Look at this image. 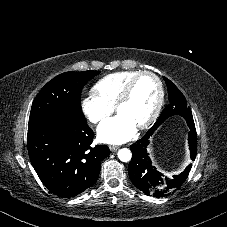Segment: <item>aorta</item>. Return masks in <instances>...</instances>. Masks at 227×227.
Masks as SVG:
<instances>
[{"mask_svg": "<svg viewBox=\"0 0 227 227\" xmlns=\"http://www.w3.org/2000/svg\"><path fill=\"white\" fill-rule=\"evenodd\" d=\"M132 157V153L129 149L127 148H123L120 149L118 151V158L122 161V162H128L131 160Z\"/></svg>", "mask_w": 227, "mask_h": 227, "instance_id": "1", "label": "aorta"}]
</instances>
